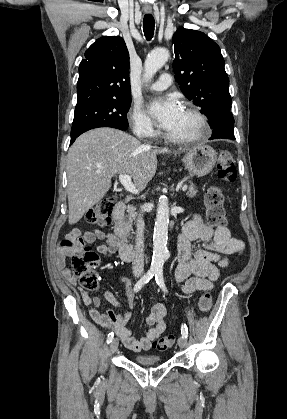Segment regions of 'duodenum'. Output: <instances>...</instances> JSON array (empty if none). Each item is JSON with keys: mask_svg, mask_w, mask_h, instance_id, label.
Here are the masks:
<instances>
[{"mask_svg": "<svg viewBox=\"0 0 287 419\" xmlns=\"http://www.w3.org/2000/svg\"><path fill=\"white\" fill-rule=\"evenodd\" d=\"M125 210H126V203L124 201L121 200V201H118L115 204V207H114V221H115L114 232H115V234L117 235V237L119 238V240L121 242V247H120V250H119L120 258L123 261L129 262V261H132L133 259H135V257L137 256V249L128 244L125 232H124L123 227H122V220H123V217H124Z\"/></svg>", "mask_w": 287, "mask_h": 419, "instance_id": "410a0bca", "label": "duodenum"}]
</instances>
